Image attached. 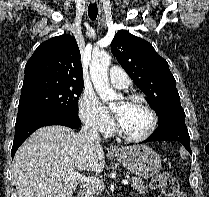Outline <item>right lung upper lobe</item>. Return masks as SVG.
Listing matches in <instances>:
<instances>
[{"label":"right lung upper lobe","mask_w":209,"mask_h":197,"mask_svg":"<svg viewBox=\"0 0 209 197\" xmlns=\"http://www.w3.org/2000/svg\"><path fill=\"white\" fill-rule=\"evenodd\" d=\"M36 80L83 83L80 51L73 36L53 37L37 47L25 65L24 84Z\"/></svg>","instance_id":"cb5924a9"}]
</instances>
